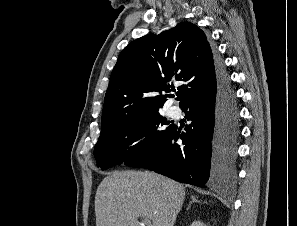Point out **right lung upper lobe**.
<instances>
[{"mask_svg": "<svg viewBox=\"0 0 297 226\" xmlns=\"http://www.w3.org/2000/svg\"><path fill=\"white\" fill-rule=\"evenodd\" d=\"M172 80L183 81L177 100L206 91L216 81V58L196 25L179 23L158 35L131 42L119 55L104 101L101 127L158 111L167 101Z\"/></svg>", "mask_w": 297, "mask_h": 226, "instance_id": "cb5924a9", "label": "right lung upper lobe"}]
</instances>
